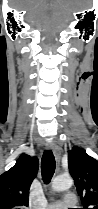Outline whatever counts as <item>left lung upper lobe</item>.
Wrapping results in <instances>:
<instances>
[{"instance_id": "1", "label": "left lung upper lobe", "mask_w": 98, "mask_h": 209, "mask_svg": "<svg viewBox=\"0 0 98 209\" xmlns=\"http://www.w3.org/2000/svg\"><path fill=\"white\" fill-rule=\"evenodd\" d=\"M68 166L83 209H98V161L83 149L73 147L68 152Z\"/></svg>"}]
</instances>
